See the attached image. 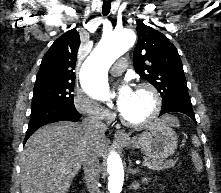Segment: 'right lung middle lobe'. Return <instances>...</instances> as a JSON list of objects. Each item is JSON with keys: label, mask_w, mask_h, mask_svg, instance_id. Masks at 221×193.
Returning <instances> with one entry per match:
<instances>
[{"label": "right lung middle lobe", "mask_w": 221, "mask_h": 193, "mask_svg": "<svg viewBox=\"0 0 221 193\" xmlns=\"http://www.w3.org/2000/svg\"><path fill=\"white\" fill-rule=\"evenodd\" d=\"M73 91V82L35 84L31 112L50 106L75 108Z\"/></svg>", "instance_id": "1"}]
</instances>
